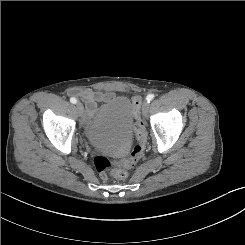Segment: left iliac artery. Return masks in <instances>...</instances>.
I'll return each instance as SVG.
<instances>
[{
	"label": "left iliac artery",
	"instance_id": "obj_1",
	"mask_svg": "<svg viewBox=\"0 0 245 245\" xmlns=\"http://www.w3.org/2000/svg\"><path fill=\"white\" fill-rule=\"evenodd\" d=\"M154 97H155L154 94H149V95H147V97H146V101H147L148 103H150V101H152V100L154 99Z\"/></svg>",
	"mask_w": 245,
	"mask_h": 245
}]
</instances>
